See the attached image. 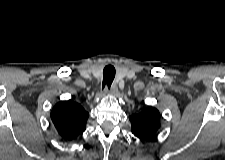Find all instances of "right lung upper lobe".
Instances as JSON below:
<instances>
[{
  "instance_id": "right-lung-upper-lobe-1",
  "label": "right lung upper lobe",
  "mask_w": 225,
  "mask_h": 160,
  "mask_svg": "<svg viewBox=\"0 0 225 160\" xmlns=\"http://www.w3.org/2000/svg\"><path fill=\"white\" fill-rule=\"evenodd\" d=\"M51 120L59 135L65 140H73L86 130L89 113L72 99L57 103L51 110Z\"/></svg>"
}]
</instances>
